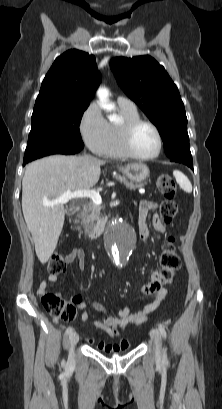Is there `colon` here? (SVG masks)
<instances>
[{"label":"colon","mask_w":222,"mask_h":409,"mask_svg":"<svg viewBox=\"0 0 222 409\" xmlns=\"http://www.w3.org/2000/svg\"><path fill=\"white\" fill-rule=\"evenodd\" d=\"M157 188L162 193L164 200L160 206V216L165 222H171L178 211L175 200L176 188L173 178L168 174H161L157 179ZM66 265L65 256L62 253H54L48 262V272L50 274L61 273ZM181 260L175 248L172 238H168L163 246L159 258V269L164 274L166 283L170 282L175 272L180 268ZM41 303L44 309L52 316L64 320L72 319L76 309L73 304L62 297L59 293L44 292L40 294Z\"/></svg>","instance_id":"colon-1"}]
</instances>
